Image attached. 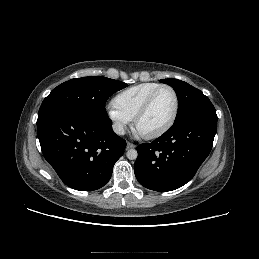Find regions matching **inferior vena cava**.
Instances as JSON below:
<instances>
[{
    "instance_id": "obj_1",
    "label": "inferior vena cava",
    "mask_w": 259,
    "mask_h": 259,
    "mask_svg": "<svg viewBox=\"0 0 259 259\" xmlns=\"http://www.w3.org/2000/svg\"><path fill=\"white\" fill-rule=\"evenodd\" d=\"M112 128H113V131L118 135H124L125 134V129L120 123L113 124Z\"/></svg>"
}]
</instances>
